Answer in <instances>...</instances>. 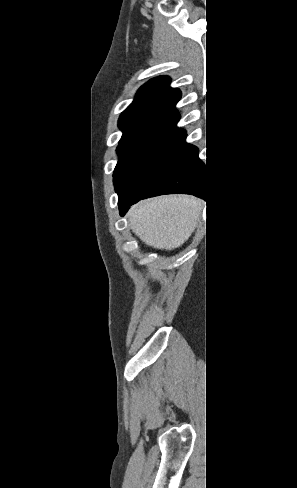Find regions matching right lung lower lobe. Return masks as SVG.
Masks as SVG:
<instances>
[{
	"instance_id": "obj_1",
	"label": "right lung lower lobe",
	"mask_w": 297,
	"mask_h": 488,
	"mask_svg": "<svg viewBox=\"0 0 297 488\" xmlns=\"http://www.w3.org/2000/svg\"><path fill=\"white\" fill-rule=\"evenodd\" d=\"M185 139V130L176 133L128 195L119 199L122 216L137 201L157 195L184 193L206 199L204 164L198 157V148L187 144Z\"/></svg>"
}]
</instances>
